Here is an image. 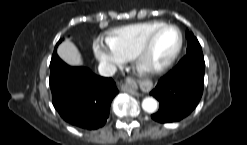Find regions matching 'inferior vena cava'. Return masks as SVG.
I'll list each match as a JSON object with an SVG mask.
<instances>
[{
  "mask_svg": "<svg viewBox=\"0 0 247 145\" xmlns=\"http://www.w3.org/2000/svg\"><path fill=\"white\" fill-rule=\"evenodd\" d=\"M99 74L105 77L113 76L116 72V67L113 64L101 62L98 66Z\"/></svg>",
  "mask_w": 247,
  "mask_h": 145,
  "instance_id": "602c4592",
  "label": "inferior vena cava"
}]
</instances>
